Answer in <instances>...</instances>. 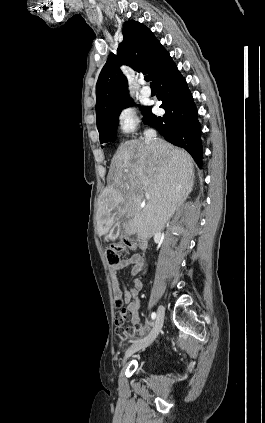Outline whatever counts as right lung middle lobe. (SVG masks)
Masks as SVG:
<instances>
[{
  "mask_svg": "<svg viewBox=\"0 0 265 423\" xmlns=\"http://www.w3.org/2000/svg\"><path fill=\"white\" fill-rule=\"evenodd\" d=\"M131 99L125 100L119 106H117L110 114H108L100 123L97 124L99 131L100 143L114 141L116 139V130L118 126V116L122 111L123 107L127 108L132 106ZM143 116L146 113V108H140Z\"/></svg>",
  "mask_w": 265,
  "mask_h": 423,
  "instance_id": "dd1d6c3e",
  "label": "right lung middle lobe"
}]
</instances>
